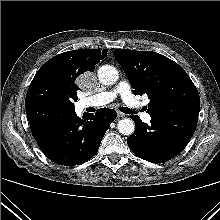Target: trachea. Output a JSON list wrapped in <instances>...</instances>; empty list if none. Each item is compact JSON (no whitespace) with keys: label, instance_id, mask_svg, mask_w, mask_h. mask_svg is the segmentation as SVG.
<instances>
[{"label":"trachea","instance_id":"obj_1","mask_svg":"<svg viewBox=\"0 0 220 220\" xmlns=\"http://www.w3.org/2000/svg\"><path fill=\"white\" fill-rule=\"evenodd\" d=\"M120 111L125 114H135V112L133 110H131L130 108H127V107H120Z\"/></svg>","mask_w":220,"mask_h":220}]
</instances>
